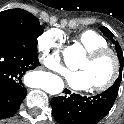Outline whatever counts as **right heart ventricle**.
Masks as SVG:
<instances>
[{"mask_svg": "<svg viewBox=\"0 0 124 124\" xmlns=\"http://www.w3.org/2000/svg\"><path fill=\"white\" fill-rule=\"evenodd\" d=\"M75 40L86 51L108 46L107 40L101 34L91 29L80 32L76 35Z\"/></svg>", "mask_w": 124, "mask_h": 124, "instance_id": "obj_1", "label": "right heart ventricle"}]
</instances>
